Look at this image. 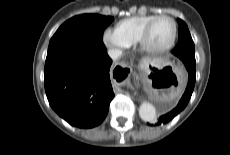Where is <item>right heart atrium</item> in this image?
Segmentation results:
<instances>
[{"mask_svg":"<svg viewBox=\"0 0 230 155\" xmlns=\"http://www.w3.org/2000/svg\"><path fill=\"white\" fill-rule=\"evenodd\" d=\"M103 43L117 54H121L130 44L123 40L115 30L107 29L103 34Z\"/></svg>","mask_w":230,"mask_h":155,"instance_id":"d8ad5b80","label":"right heart atrium"}]
</instances>
